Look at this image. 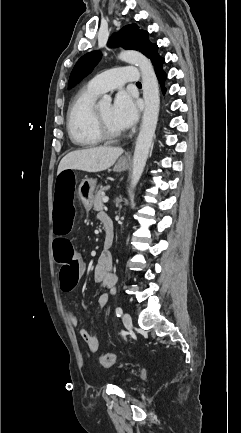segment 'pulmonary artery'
<instances>
[{
  "label": "pulmonary artery",
  "mask_w": 241,
  "mask_h": 433,
  "mask_svg": "<svg viewBox=\"0 0 241 433\" xmlns=\"http://www.w3.org/2000/svg\"><path fill=\"white\" fill-rule=\"evenodd\" d=\"M140 70L136 66H120L102 72L90 79L86 88L97 94L116 90L125 84H136L139 81Z\"/></svg>",
  "instance_id": "e3ab8cb5"
}]
</instances>
